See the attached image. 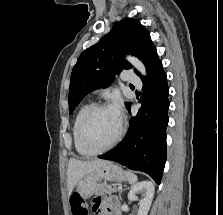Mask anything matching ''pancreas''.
<instances>
[{"label": "pancreas", "mask_w": 223, "mask_h": 215, "mask_svg": "<svg viewBox=\"0 0 223 215\" xmlns=\"http://www.w3.org/2000/svg\"><path fill=\"white\" fill-rule=\"evenodd\" d=\"M101 190L97 191L96 193H113V191H118V189H115V187H111V185L108 184H101L99 183Z\"/></svg>", "instance_id": "cf45deb5"}]
</instances>
